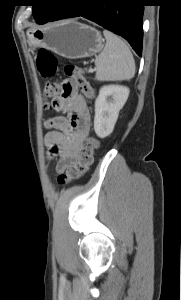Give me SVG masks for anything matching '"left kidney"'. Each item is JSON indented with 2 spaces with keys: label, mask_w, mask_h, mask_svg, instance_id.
Instances as JSON below:
<instances>
[{
  "label": "left kidney",
  "mask_w": 181,
  "mask_h": 300,
  "mask_svg": "<svg viewBox=\"0 0 181 300\" xmlns=\"http://www.w3.org/2000/svg\"><path fill=\"white\" fill-rule=\"evenodd\" d=\"M129 88L121 85L101 87L95 101L94 130L99 138L109 136L129 96ZM109 98V99H108Z\"/></svg>",
  "instance_id": "left-kidney-1"
}]
</instances>
